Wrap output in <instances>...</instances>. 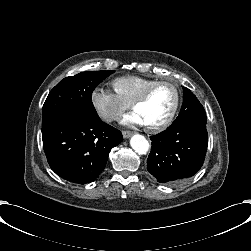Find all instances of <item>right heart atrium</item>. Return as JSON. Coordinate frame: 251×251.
<instances>
[{
  "label": "right heart atrium",
  "mask_w": 251,
  "mask_h": 251,
  "mask_svg": "<svg viewBox=\"0 0 251 251\" xmlns=\"http://www.w3.org/2000/svg\"><path fill=\"white\" fill-rule=\"evenodd\" d=\"M89 101L95 113L107 123L117 120L131 106L116 92L106 88H93L89 94Z\"/></svg>",
  "instance_id": "right-heart-atrium-1"
}]
</instances>
